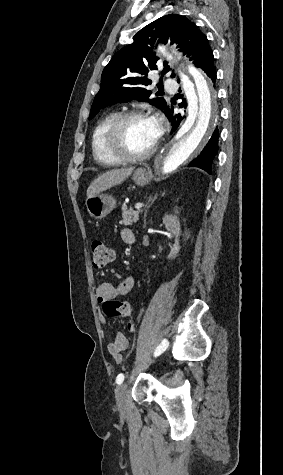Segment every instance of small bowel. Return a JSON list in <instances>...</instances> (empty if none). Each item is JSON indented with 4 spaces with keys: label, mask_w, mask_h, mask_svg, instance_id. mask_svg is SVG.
Segmentation results:
<instances>
[{
    "label": "small bowel",
    "mask_w": 283,
    "mask_h": 475,
    "mask_svg": "<svg viewBox=\"0 0 283 475\" xmlns=\"http://www.w3.org/2000/svg\"><path fill=\"white\" fill-rule=\"evenodd\" d=\"M122 240L126 245H133L135 243V235L129 229H124L121 233ZM134 278L127 277L118 286H113L108 283L99 284L95 289L96 301L103 305V311L105 313V302L107 301L110 293H121V295H127L134 287ZM130 312V310L128 311ZM106 314V313H105ZM107 315V314H106ZM109 317L116 318L117 315H107ZM104 323V319L102 320ZM129 341L125 334L119 333L115 339L110 340L107 344V348L116 363H121L123 360V353L128 349Z\"/></svg>",
    "instance_id": "small-bowel-1"
}]
</instances>
